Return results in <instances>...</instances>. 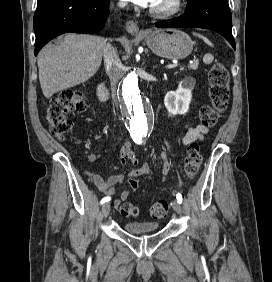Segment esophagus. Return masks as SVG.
<instances>
[{"mask_svg": "<svg viewBox=\"0 0 272 282\" xmlns=\"http://www.w3.org/2000/svg\"><path fill=\"white\" fill-rule=\"evenodd\" d=\"M126 31L132 35H137L139 33V27L136 22L129 20L126 22Z\"/></svg>", "mask_w": 272, "mask_h": 282, "instance_id": "1", "label": "esophagus"}]
</instances>
